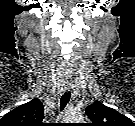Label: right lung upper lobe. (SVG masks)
<instances>
[{
	"label": "right lung upper lobe",
	"mask_w": 135,
	"mask_h": 126,
	"mask_svg": "<svg viewBox=\"0 0 135 126\" xmlns=\"http://www.w3.org/2000/svg\"><path fill=\"white\" fill-rule=\"evenodd\" d=\"M43 119L44 106L38 98H34L5 114L0 126H40Z\"/></svg>",
	"instance_id": "1"
}]
</instances>
